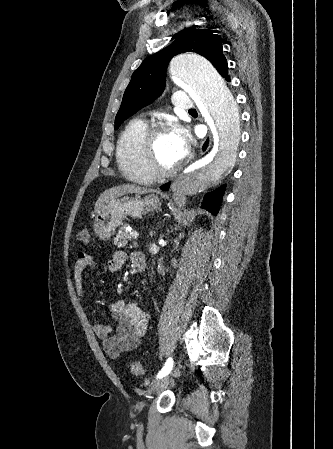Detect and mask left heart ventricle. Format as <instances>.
I'll list each match as a JSON object with an SVG mask.
<instances>
[{"mask_svg": "<svg viewBox=\"0 0 333 449\" xmlns=\"http://www.w3.org/2000/svg\"><path fill=\"white\" fill-rule=\"evenodd\" d=\"M155 152L158 163L164 168H171L181 161L169 131L157 138Z\"/></svg>", "mask_w": 333, "mask_h": 449, "instance_id": "1", "label": "left heart ventricle"}]
</instances>
